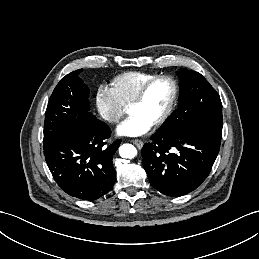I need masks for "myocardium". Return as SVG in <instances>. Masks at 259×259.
<instances>
[{
	"label": "myocardium",
	"mask_w": 259,
	"mask_h": 259,
	"mask_svg": "<svg viewBox=\"0 0 259 259\" xmlns=\"http://www.w3.org/2000/svg\"><path fill=\"white\" fill-rule=\"evenodd\" d=\"M165 80L168 81L171 84L172 87V94L171 98L169 100L168 106L163 112V114L160 116L159 119H157L152 126L153 127H159L162 124L166 122V120L170 117V115L173 112V109L175 107V103L178 97V85L176 80L170 76V75H157L149 79L147 82H145L142 87L139 89V91L136 93L134 98L131 100L129 104V109H131L132 106L138 104L140 101H142L147 94L149 88L157 81Z\"/></svg>",
	"instance_id": "1"
}]
</instances>
